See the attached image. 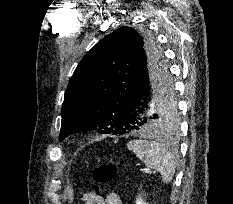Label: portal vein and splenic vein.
<instances>
[{
    "instance_id": "portal-vein-and-splenic-vein-1",
    "label": "portal vein and splenic vein",
    "mask_w": 233,
    "mask_h": 204,
    "mask_svg": "<svg viewBox=\"0 0 233 204\" xmlns=\"http://www.w3.org/2000/svg\"><path fill=\"white\" fill-rule=\"evenodd\" d=\"M142 171H146V172H148V168H146V167H143L142 169H141Z\"/></svg>"
}]
</instances>
